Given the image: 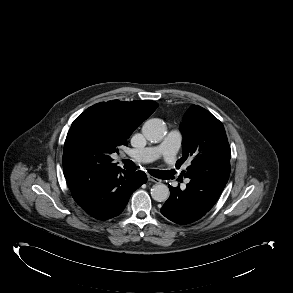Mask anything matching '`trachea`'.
<instances>
[{
  "mask_svg": "<svg viewBox=\"0 0 293 293\" xmlns=\"http://www.w3.org/2000/svg\"><path fill=\"white\" fill-rule=\"evenodd\" d=\"M124 162H125V165H124L125 169L130 170V171H135L136 170V166H135L133 161L125 160ZM149 173H150V175H152L154 177L160 178L161 174H162V171H160V170H149Z\"/></svg>",
  "mask_w": 293,
  "mask_h": 293,
  "instance_id": "obj_1",
  "label": "trachea"
}]
</instances>
